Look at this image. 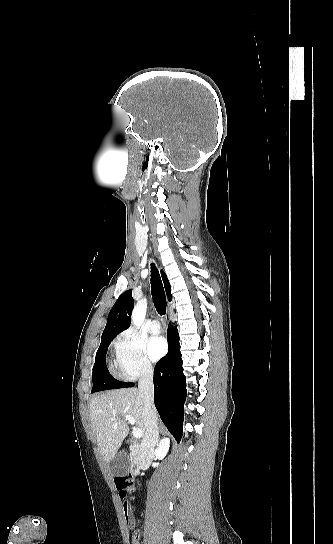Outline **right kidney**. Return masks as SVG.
<instances>
[{
    "label": "right kidney",
    "instance_id": "1",
    "mask_svg": "<svg viewBox=\"0 0 333 544\" xmlns=\"http://www.w3.org/2000/svg\"><path fill=\"white\" fill-rule=\"evenodd\" d=\"M169 447H170L169 438L162 439L160 441V443L158 444L157 449L155 450V456L159 460H162L166 456V454L168 453Z\"/></svg>",
    "mask_w": 333,
    "mask_h": 544
}]
</instances>
